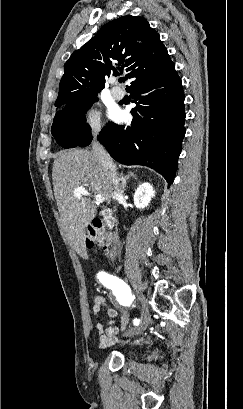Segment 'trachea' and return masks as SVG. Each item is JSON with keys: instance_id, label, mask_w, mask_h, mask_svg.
Masks as SVG:
<instances>
[{"instance_id": "3493384b", "label": "trachea", "mask_w": 243, "mask_h": 409, "mask_svg": "<svg viewBox=\"0 0 243 409\" xmlns=\"http://www.w3.org/2000/svg\"><path fill=\"white\" fill-rule=\"evenodd\" d=\"M124 81H125V78H120L119 79V82H121V83L124 82Z\"/></svg>"}]
</instances>
